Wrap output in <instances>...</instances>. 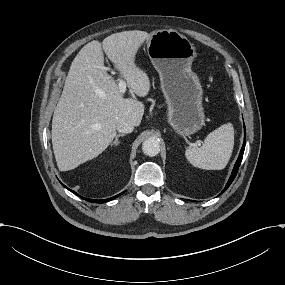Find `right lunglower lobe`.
<instances>
[{"instance_id": "98d812e1", "label": "right lung lower lobe", "mask_w": 285, "mask_h": 285, "mask_svg": "<svg viewBox=\"0 0 285 285\" xmlns=\"http://www.w3.org/2000/svg\"><path fill=\"white\" fill-rule=\"evenodd\" d=\"M63 185V184H62ZM64 186V185H63ZM65 187V186H64ZM68 189V188H67ZM69 191H71V192H73L74 194H76L77 196H79V197H81L80 195H78L76 192H74V191H72V190H70V189H68ZM122 193H124V192H122ZM121 193V194H122ZM121 194H118V195H116V196H114V197H112V198H108V199H104V200H93V199H88V198H84V197H81V198H83L84 200H86V201H89V202H93V203H105V202H108V201H110V200H113V199H115L116 197H118L119 195H121Z\"/></svg>"}]
</instances>
